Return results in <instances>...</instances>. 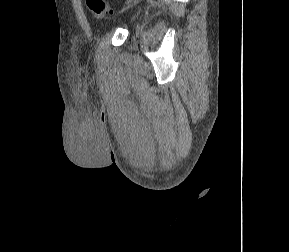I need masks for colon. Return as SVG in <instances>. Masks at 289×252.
I'll return each mask as SVG.
<instances>
[{
  "label": "colon",
  "instance_id": "obj_1",
  "mask_svg": "<svg viewBox=\"0 0 289 252\" xmlns=\"http://www.w3.org/2000/svg\"><path fill=\"white\" fill-rule=\"evenodd\" d=\"M85 4L95 17H105L113 13L106 0H85Z\"/></svg>",
  "mask_w": 289,
  "mask_h": 252
}]
</instances>
